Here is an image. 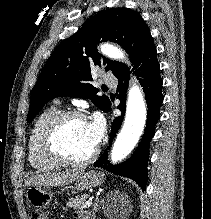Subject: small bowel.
Here are the masks:
<instances>
[{"label":"small bowel","instance_id":"small-bowel-1","mask_svg":"<svg viewBox=\"0 0 211 219\" xmlns=\"http://www.w3.org/2000/svg\"><path fill=\"white\" fill-rule=\"evenodd\" d=\"M74 219H88L86 215L80 213V212H75L74 213Z\"/></svg>","mask_w":211,"mask_h":219}]
</instances>
